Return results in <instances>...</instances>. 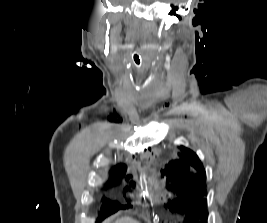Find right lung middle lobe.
<instances>
[{
    "instance_id": "1",
    "label": "right lung middle lobe",
    "mask_w": 267,
    "mask_h": 223,
    "mask_svg": "<svg viewBox=\"0 0 267 223\" xmlns=\"http://www.w3.org/2000/svg\"><path fill=\"white\" fill-rule=\"evenodd\" d=\"M116 181L117 179L114 178L111 182L108 183V185H113L116 183ZM120 208H122V206L118 202H110L109 200L104 199L100 217H105Z\"/></svg>"
}]
</instances>
